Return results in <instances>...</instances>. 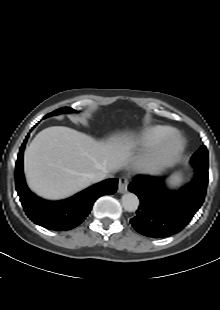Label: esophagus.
I'll return each mask as SVG.
<instances>
[{
  "mask_svg": "<svg viewBox=\"0 0 220 310\" xmlns=\"http://www.w3.org/2000/svg\"><path fill=\"white\" fill-rule=\"evenodd\" d=\"M128 188V180L125 177H121L119 179V183H118V192L119 193H125L127 191Z\"/></svg>",
  "mask_w": 220,
  "mask_h": 310,
  "instance_id": "1",
  "label": "esophagus"
}]
</instances>
